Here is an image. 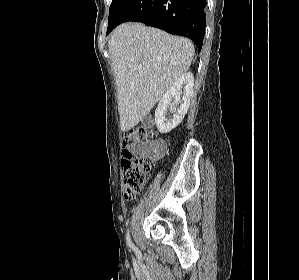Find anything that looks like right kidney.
Returning a JSON list of instances; mask_svg holds the SVG:
<instances>
[{
    "label": "right kidney",
    "mask_w": 299,
    "mask_h": 280,
    "mask_svg": "<svg viewBox=\"0 0 299 280\" xmlns=\"http://www.w3.org/2000/svg\"><path fill=\"white\" fill-rule=\"evenodd\" d=\"M183 86L184 91H182ZM193 87V74L191 72H186L183 73L166 91L155 110V122L159 132L168 133L182 122L190 105ZM172 100L173 103L171 104ZM177 104H180V106L174 114L173 119H165L167 107L171 106L175 108Z\"/></svg>",
    "instance_id": "1"
}]
</instances>
